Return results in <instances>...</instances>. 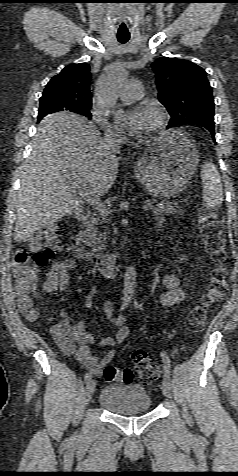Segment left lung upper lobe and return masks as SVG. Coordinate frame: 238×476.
Masks as SVG:
<instances>
[{"instance_id":"1","label":"left lung upper lobe","mask_w":238,"mask_h":476,"mask_svg":"<svg viewBox=\"0 0 238 476\" xmlns=\"http://www.w3.org/2000/svg\"><path fill=\"white\" fill-rule=\"evenodd\" d=\"M159 101L171 118L167 128L214 122V100L205 70L195 63L161 57L152 63Z\"/></svg>"}]
</instances>
